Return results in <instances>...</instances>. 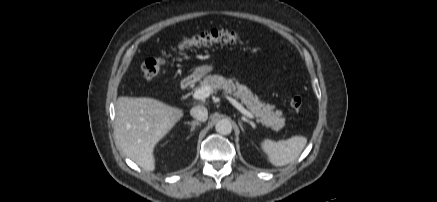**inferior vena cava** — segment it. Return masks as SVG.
Wrapping results in <instances>:
<instances>
[{"label": "inferior vena cava", "instance_id": "602c4592", "mask_svg": "<svg viewBox=\"0 0 437 202\" xmlns=\"http://www.w3.org/2000/svg\"><path fill=\"white\" fill-rule=\"evenodd\" d=\"M190 114L193 118L205 122L208 118V111L204 106H195L191 108Z\"/></svg>", "mask_w": 437, "mask_h": 202}]
</instances>
